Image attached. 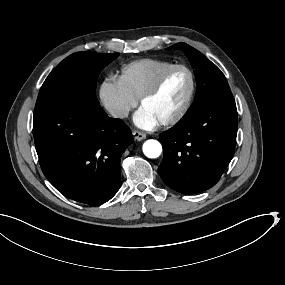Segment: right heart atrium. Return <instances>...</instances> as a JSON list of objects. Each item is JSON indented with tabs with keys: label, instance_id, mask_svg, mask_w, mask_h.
<instances>
[{
	"label": "right heart atrium",
	"instance_id": "d8ad5b80",
	"mask_svg": "<svg viewBox=\"0 0 285 285\" xmlns=\"http://www.w3.org/2000/svg\"><path fill=\"white\" fill-rule=\"evenodd\" d=\"M100 97L107 112L116 120L126 119L138 103L137 97L120 84L113 72L103 76Z\"/></svg>",
	"mask_w": 285,
	"mask_h": 285
}]
</instances>
